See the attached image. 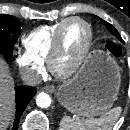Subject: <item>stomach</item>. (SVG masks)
Returning a JSON list of instances; mask_svg holds the SVG:
<instances>
[{
    "mask_svg": "<svg viewBox=\"0 0 130 130\" xmlns=\"http://www.w3.org/2000/svg\"><path fill=\"white\" fill-rule=\"evenodd\" d=\"M121 84L115 59L99 50L92 51L77 74L59 87V102L80 117L105 113L117 99Z\"/></svg>",
    "mask_w": 130,
    "mask_h": 130,
    "instance_id": "stomach-1",
    "label": "stomach"
}]
</instances>
